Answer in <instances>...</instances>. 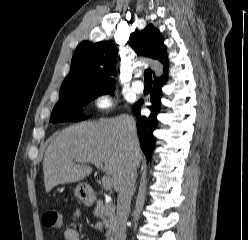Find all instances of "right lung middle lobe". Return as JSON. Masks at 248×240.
<instances>
[{"label": "right lung middle lobe", "instance_id": "1", "mask_svg": "<svg viewBox=\"0 0 248 240\" xmlns=\"http://www.w3.org/2000/svg\"><path fill=\"white\" fill-rule=\"evenodd\" d=\"M113 89L71 88L60 92V98L51 114L50 122L81 121L82 107L96 97L111 93Z\"/></svg>", "mask_w": 248, "mask_h": 240}]
</instances>
